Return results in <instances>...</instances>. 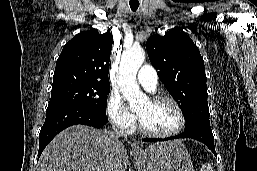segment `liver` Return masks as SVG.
Returning a JSON list of instances; mask_svg holds the SVG:
<instances>
[{"label": "liver", "instance_id": "liver-1", "mask_svg": "<svg viewBox=\"0 0 257 171\" xmlns=\"http://www.w3.org/2000/svg\"><path fill=\"white\" fill-rule=\"evenodd\" d=\"M119 137L85 125L71 126L44 149L39 171H126L128 156Z\"/></svg>", "mask_w": 257, "mask_h": 171}]
</instances>
